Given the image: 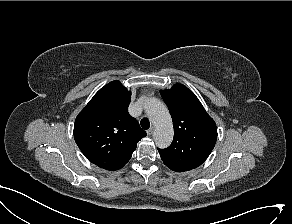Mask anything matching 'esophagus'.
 <instances>
[{
    "label": "esophagus",
    "mask_w": 292,
    "mask_h": 224,
    "mask_svg": "<svg viewBox=\"0 0 292 224\" xmlns=\"http://www.w3.org/2000/svg\"><path fill=\"white\" fill-rule=\"evenodd\" d=\"M154 132V127H150L148 130H147V134L148 135H152Z\"/></svg>",
    "instance_id": "1"
}]
</instances>
